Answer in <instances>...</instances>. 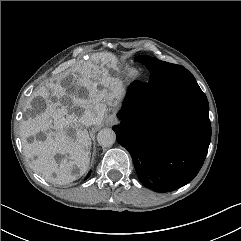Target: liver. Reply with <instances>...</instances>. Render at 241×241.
Returning a JSON list of instances; mask_svg holds the SVG:
<instances>
[{
    "label": "liver",
    "instance_id": "liver-1",
    "mask_svg": "<svg viewBox=\"0 0 241 241\" xmlns=\"http://www.w3.org/2000/svg\"><path fill=\"white\" fill-rule=\"evenodd\" d=\"M116 62V57L110 53L94 54L83 66L74 67L63 85L61 79H57L56 83L49 84L50 91L42 88L35 94L44 99L46 106L35 110L29 105L35 110V116L21 122L20 134L24 154L31 159L32 169L45 180L66 185L87 171L91 141L80 122L82 114L75 109L93 112V125L102 123L107 106H116L123 93L121 82L109 73V68H115ZM80 88L86 90L83 96L79 93ZM40 132L46 136L44 141H27ZM56 154L65 157L57 163Z\"/></svg>",
    "mask_w": 241,
    "mask_h": 241
}]
</instances>
